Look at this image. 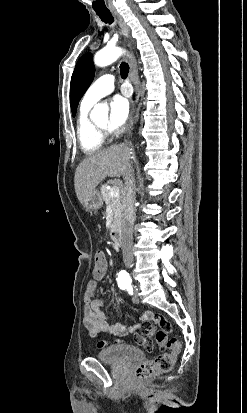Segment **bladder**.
Listing matches in <instances>:
<instances>
[{
    "label": "bladder",
    "instance_id": "1",
    "mask_svg": "<svg viewBox=\"0 0 247 413\" xmlns=\"http://www.w3.org/2000/svg\"><path fill=\"white\" fill-rule=\"evenodd\" d=\"M144 351L130 345L108 346L104 351L97 353V359L105 362L126 364L130 360L143 359Z\"/></svg>",
    "mask_w": 247,
    "mask_h": 413
}]
</instances>
